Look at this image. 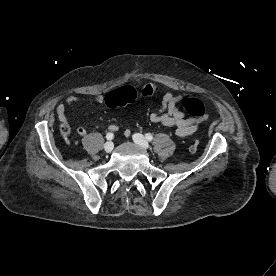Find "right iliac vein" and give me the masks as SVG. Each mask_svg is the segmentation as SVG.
<instances>
[{
	"instance_id": "1",
	"label": "right iliac vein",
	"mask_w": 276,
	"mask_h": 276,
	"mask_svg": "<svg viewBox=\"0 0 276 276\" xmlns=\"http://www.w3.org/2000/svg\"><path fill=\"white\" fill-rule=\"evenodd\" d=\"M113 148H114V144L111 141L106 142L104 145V150L107 153L111 152L113 150Z\"/></svg>"
}]
</instances>
